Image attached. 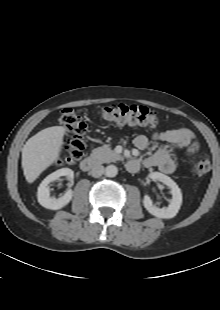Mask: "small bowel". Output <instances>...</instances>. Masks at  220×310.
I'll use <instances>...</instances> for the list:
<instances>
[{"mask_svg": "<svg viewBox=\"0 0 220 310\" xmlns=\"http://www.w3.org/2000/svg\"><path fill=\"white\" fill-rule=\"evenodd\" d=\"M152 140L165 143L154 154L143 159L145 167H158L163 173H173L176 165L170 154V146L184 150L193 155L198 151L199 145L194 133L187 128H176L153 133ZM150 139L143 134L137 135L134 145L139 150H145L149 146Z\"/></svg>", "mask_w": 220, "mask_h": 310, "instance_id": "c3829d8e", "label": "small bowel"}]
</instances>
